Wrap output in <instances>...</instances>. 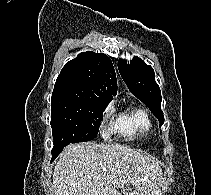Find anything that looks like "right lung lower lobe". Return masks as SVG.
<instances>
[{
  "label": "right lung lower lobe",
  "mask_w": 211,
  "mask_h": 195,
  "mask_svg": "<svg viewBox=\"0 0 211 195\" xmlns=\"http://www.w3.org/2000/svg\"><path fill=\"white\" fill-rule=\"evenodd\" d=\"M62 150H63V149H62ZM62 150H59V151H56V152H53V153H52V160H51V162H52L53 160H55V158L60 154V152H61Z\"/></svg>",
  "instance_id": "1"
}]
</instances>
